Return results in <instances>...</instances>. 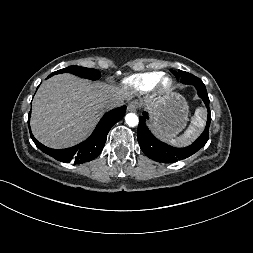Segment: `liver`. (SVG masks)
<instances>
[{
    "mask_svg": "<svg viewBox=\"0 0 253 253\" xmlns=\"http://www.w3.org/2000/svg\"><path fill=\"white\" fill-rule=\"evenodd\" d=\"M134 96L127 86L90 82L71 74L46 80L32 102L31 129L47 147L60 149L83 140L110 102Z\"/></svg>",
    "mask_w": 253,
    "mask_h": 253,
    "instance_id": "1",
    "label": "liver"
}]
</instances>
